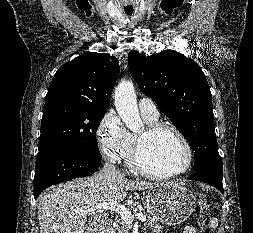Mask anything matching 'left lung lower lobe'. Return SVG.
<instances>
[{
	"label": "left lung lower lobe",
	"mask_w": 253,
	"mask_h": 233,
	"mask_svg": "<svg viewBox=\"0 0 253 233\" xmlns=\"http://www.w3.org/2000/svg\"><path fill=\"white\" fill-rule=\"evenodd\" d=\"M222 176L223 170L205 166L196 170L189 179L209 183L223 193Z\"/></svg>",
	"instance_id": "1"
}]
</instances>
